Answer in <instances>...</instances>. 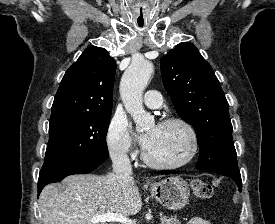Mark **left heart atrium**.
<instances>
[{
	"instance_id": "1",
	"label": "left heart atrium",
	"mask_w": 275,
	"mask_h": 224,
	"mask_svg": "<svg viewBox=\"0 0 275 224\" xmlns=\"http://www.w3.org/2000/svg\"><path fill=\"white\" fill-rule=\"evenodd\" d=\"M152 139H153V135L147 134L141 138V142L143 146L148 149V147L151 145Z\"/></svg>"
}]
</instances>
